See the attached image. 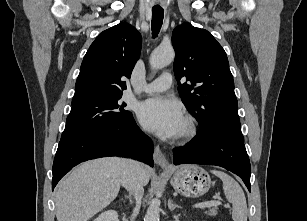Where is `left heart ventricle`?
I'll return each instance as SVG.
<instances>
[{
	"instance_id": "left-heart-ventricle-1",
	"label": "left heart ventricle",
	"mask_w": 307,
	"mask_h": 221,
	"mask_svg": "<svg viewBox=\"0 0 307 221\" xmlns=\"http://www.w3.org/2000/svg\"><path fill=\"white\" fill-rule=\"evenodd\" d=\"M184 127H185V124H183V128H182V131H183Z\"/></svg>"
}]
</instances>
